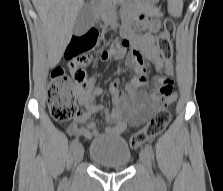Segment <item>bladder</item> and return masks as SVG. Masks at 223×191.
Wrapping results in <instances>:
<instances>
[{"label": "bladder", "mask_w": 223, "mask_h": 191, "mask_svg": "<svg viewBox=\"0 0 223 191\" xmlns=\"http://www.w3.org/2000/svg\"><path fill=\"white\" fill-rule=\"evenodd\" d=\"M89 155L99 166L124 168L131 161L132 152L124 138L107 135L91 143Z\"/></svg>", "instance_id": "31cf9c89"}]
</instances>
